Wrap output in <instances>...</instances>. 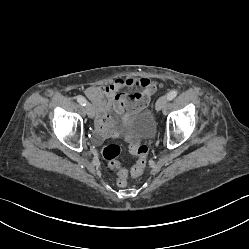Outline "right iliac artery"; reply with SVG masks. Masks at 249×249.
Wrapping results in <instances>:
<instances>
[{"mask_svg":"<svg viewBox=\"0 0 249 249\" xmlns=\"http://www.w3.org/2000/svg\"><path fill=\"white\" fill-rule=\"evenodd\" d=\"M77 101L82 106H86V104H87V100L83 96H77Z\"/></svg>","mask_w":249,"mask_h":249,"instance_id":"obj_1","label":"right iliac artery"}]
</instances>
